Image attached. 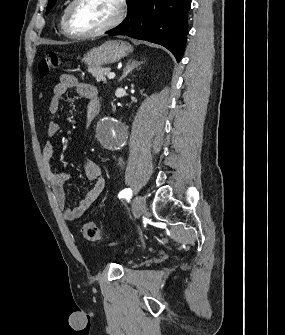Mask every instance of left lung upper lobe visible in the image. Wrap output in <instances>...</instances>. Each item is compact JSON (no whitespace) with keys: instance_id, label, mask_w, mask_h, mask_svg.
Returning a JSON list of instances; mask_svg holds the SVG:
<instances>
[{"instance_id":"1","label":"left lung upper lobe","mask_w":285,"mask_h":335,"mask_svg":"<svg viewBox=\"0 0 285 335\" xmlns=\"http://www.w3.org/2000/svg\"><path fill=\"white\" fill-rule=\"evenodd\" d=\"M57 0H48V6H47V10L46 13H48V11L54 6V4L56 3Z\"/></svg>"}]
</instances>
